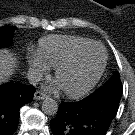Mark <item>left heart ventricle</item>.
I'll list each match as a JSON object with an SVG mask.
<instances>
[{"label": "left heart ventricle", "instance_id": "obj_1", "mask_svg": "<svg viewBox=\"0 0 135 135\" xmlns=\"http://www.w3.org/2000/svg\"><path fill=\"white\" fill-rule=\"evenodd\" d=\"M104 59L103 50L99 46L87 49L70 67L64 69L58 81L69 90H77L84 86L100 69Z\"/></svg>", "mask_w": 135, "mask_h": 135}]
</instances>
